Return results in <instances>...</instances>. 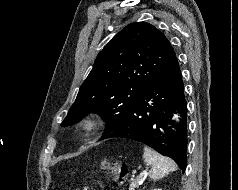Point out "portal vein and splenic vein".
<instances>
[{
  "label": "portal vein and splenic vein",
  "instance_id": "obj_1",
  "mask_svg": "<svg viewBox=\"0 0 238 190\" xmlns=\"http://www.w3.org/2000/svg\"><path fill=\"white\" fill-rule=\"evenodd\" d=\"M147 174V170H144L143 172H141L140 176L141 175H146Z\"/></svg>",
  "mask_w": 238,
  "mask_h": 190
}]
</instances>
